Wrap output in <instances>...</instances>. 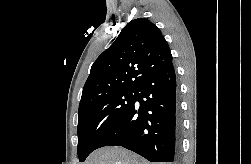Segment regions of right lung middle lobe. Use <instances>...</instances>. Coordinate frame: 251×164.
I'll list each match as a JSON object with an SVG mask.
<instances>
[{"label": "right lung middle lobe", "mask_w": 251, "mask_h": 164, "mask_svg": "<svg viewBox=\"0 0 251 164\" xmlns=\"http://www.w3.org/2000/svg\"><path fill=\"white\" fill-rule=\"evenodd\" d=\"M137 90H122L102 95L79 108L78 156L84 162L104 136L134 105Z\"/></svg>", "instance_id": "right-lung-middle-lobe-1"}]
</instances>
